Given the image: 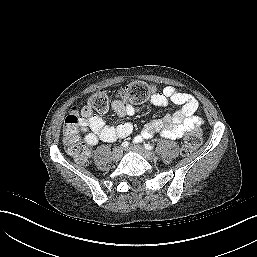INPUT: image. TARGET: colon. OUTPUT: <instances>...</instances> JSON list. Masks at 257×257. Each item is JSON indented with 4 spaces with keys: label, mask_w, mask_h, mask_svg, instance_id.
<instances>
[{
    "label": "colon",
    "mask_w": 257,
    "mask_h": 257,
    "mask_svg": "<svg viewBox=\"0 0 257 257\" xmlns=\"http://www.w3.org/2000/svg\"><path fill=\"white\" fill-rule=\"evenodd\" d=\"M155 95V89L152 84L142 81L131 82L120 90V96L124 101L141 103ZM110 96L109 93L100 89L93 93L87 99L86 108L91 112L104 114L109 109ZM80 120L81 115L77 110H71L65 119V145L68 154L79 163L88 160L89 150L85 143L80 139ZM202 142V131L200 127L194 128L184 139L181 152L189 155L195 151Z\"/></svg>",
    "instance_id": "5ec220e1"
}]
</instances>
